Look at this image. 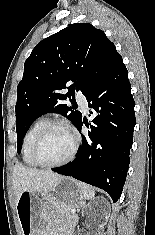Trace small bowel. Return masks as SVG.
Instances as JSON below:
<instances>
[{"label":"small bowel","instance_id":"c3829d8e","mask_svg":"<svg viewBox=\"0 0 155 235\" xmlns=\"http://www.w3.org/2000/svg\"><path fill=\"white\" fill-rule=\"evenodd\" d=\"M49 235H70L68 229H61L58 232L50 233Z\"/></svg>","mask_w":155,"mask_h":235}]
</instances>
